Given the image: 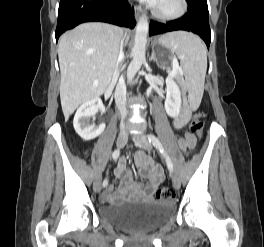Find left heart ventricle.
<instances>
[{
	"mask_svg": "<svg viewBox=\"0 0 264 247\" xmlns=\"http://www.w3.org/2000/svg\"><path fill=\"white\" fill-rule=\"evenodd\" d=\"M177 0H160L156 5L158 11L162 13H169L177 8Z\"/></svg>",
	"mask_w": 264,
	"mask_h": 247,
	"instance_id": "left-heart-ventricle-1",
	"label": "left heart ventricle"
}]
</instances>
